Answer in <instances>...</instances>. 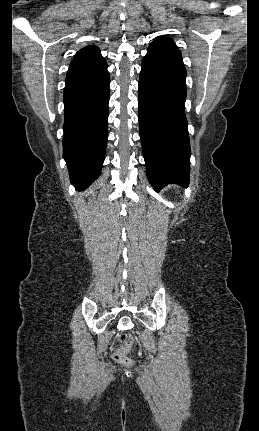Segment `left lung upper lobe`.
I'll return each instance as SVG.
<instances>
[{
    "label": "left lung upper lobe",
    "instance_id": "1",
    "mask_svg": "<svg viewBox=\"0 0 259 431\" xmlns=\"http://www.w3.org/2000/svg\"><path fill=\"white\" fill-rule=\"evenodd\" d=\"M156 39H159V40L165 41V42H167L169 44L175 45L174 42H173V40L171 38H169V37H166V36H159Z\"/></svg>",
    "mask_w": 259,
    "mask_h": 431
}]
</instances>
